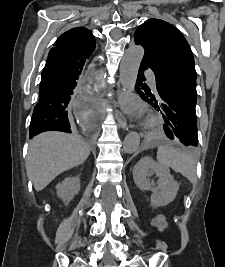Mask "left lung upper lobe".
<instances>
[{"label":"left lung upper lobe","instance_id":"1","mask_svg":"<svg viewBox=\"0 0 225 267\" xmlns=\"http://www.w3.org/2000/svg\"><path fill=\"white\" fill-rule=\"evenodd\" d=\"M134 40L135 44L144 47L143 62L158 79L176 73L197 77L189 44L182 33L168 22L160 19L145 21L136 30Z\"/></svg>","mask_w":225,"mask_h":267}]
</instances>
